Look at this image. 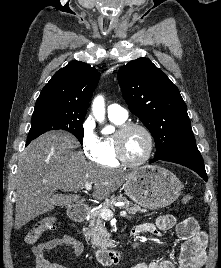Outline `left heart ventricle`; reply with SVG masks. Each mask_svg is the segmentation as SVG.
Masks as SVG:
<instances>
[{"label":"left heart ventricle","mask_w":221,"mask_h":268,"mask_svg":"<svg viewBox=\"0 0 221 268\" xmlns=\"http://www.w3.org/2000/svg\"><path fill=\"white\" fill-rule=\"evenodd\" d=\"M123 148L130 161H139L148 149L147 136L140 129H131L124 135Z\"/></svg>","instance_id":"left-heart-ventricle-1"}]
</instances>
